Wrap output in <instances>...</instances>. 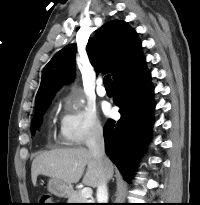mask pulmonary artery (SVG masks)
Instances as JSON below:
<instances>
[{"label":"pulmonary artery","mask_w":200,"mask_h":205,"mask_svg":"<svg viewBox=\"0 0 200 205\" xmlns=\"http://www.w3.org/2000/svg\"><path fill=\"white\" fill-rule=\"evenodd\" d=\"M96 92L101 97L106 96V90H105L101 80H99L98 83H97Z\"/></svg>","instance_id":"e3ab8cb5"}]
</instances>
